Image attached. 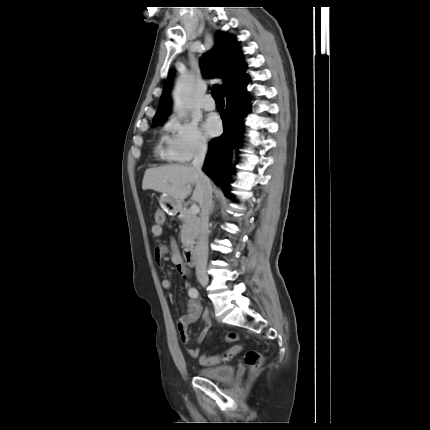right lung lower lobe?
<instances>
[{
  "label": "right lung lower lobe",
  "instance_id": "right-lung-lower-lobe-1",
  "mask_svg": "<svg viewBox=\"0 0 430 430\" xmlns=\"http://www.w3.org/2000/svg\"><path fill=\"white\" fill-rule=\"evenodd\" d=\"M248 77L234 88L226 92L227 106L221 113L223 119V134L210 142L209 151L205 160L203 171L220 186L226 197H232L228 189L230 170L222 160L225 151L232 144L240 142L243 133V119L249 110V95L246 90Z\"/></svg>",
  "mask_w": 430,
  "mask_h": 430
}]
</instances>
